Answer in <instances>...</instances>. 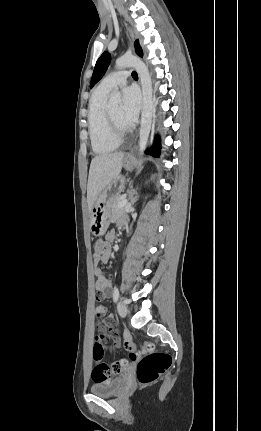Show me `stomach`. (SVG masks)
Segmentation results:
<instances>
[{
	"mask_svg": "<svg viewBox=\"0 0 261 431\" xmlns=\"http://www.w3.org/2000/svg\"><path fill=\"white\" fill-rule=\"evenodd\" d=\"M123 166L128 171L132 170L133 159L131 157L125 158ZM123 186L124 179L118 176L97 198L90 218V231L93 235L102 236L107 231L111 221L112 201L122 190Z\"/></svg>",
	"mask_w": 261,
	"mask_h": 431,
	"instance_id": "obj_1",
	"label": "stomach"
}]
</instances>
